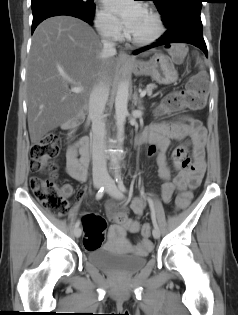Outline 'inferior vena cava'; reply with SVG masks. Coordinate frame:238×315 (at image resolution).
<instances>
[{
  "instance_id": "1",
  "label": "inferior vena cava",
  "mask_w": 238,
  "mask_h": 315,
  "mask_svg": "<svg viewBox=\"0 0 238 315\" xmlns=\"http://www.w3.org/2000/svg\"><path fill=\"white\" fill-rule=\"evenodd\" d=\"M103 32V58H108L116 54L115 44L108 40V32L102 28ZM109 96V83L103 77L94 86L89 98V117L92 120V160L93 179H107V156L105 148L106 126L103 114Z\"/></svg>"
}]
</instances>
